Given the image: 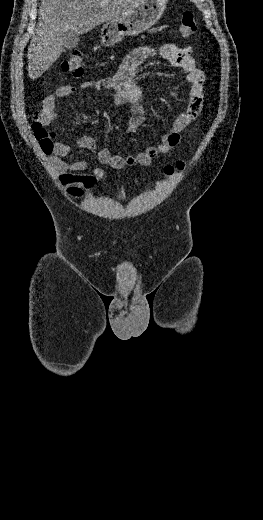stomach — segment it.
I'll return each instance as SVG.
<instances>
[{
    "mask_svg": "<svg viewBox=\"0 0 263 520\" xmlns=\"http://www.w3.org/2000/svg\"><path fill=\"white\" fill-rule=\"evenodd\" d=\"M168 0H144L116 19L108 21L101 29L100 42L111 46L124 36H136L153 26L163 15Z\"/></svg>",
    "mask_w": 263,
    "mask_h": 520,
    "instance_id": "stomach-1",
    "label": "stomach"
}]
</instances>
